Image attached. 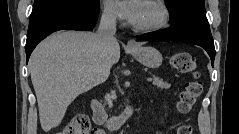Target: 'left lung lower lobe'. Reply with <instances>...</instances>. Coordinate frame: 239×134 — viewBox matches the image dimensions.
Returning a JSON list of instances; mask_svg holds the SVG:
<instances>
[{
  "instance_id": "0a47b994",
  "label": "left lung lower lobe",
  "mask_w": 239,
  "mask_h": 134,
  "mask_svg": "<svg viewBox=\"0 0 239 134\" xmlns=\"http://www.w3.org/2000/svg\"><path fill=\"white\" fill-rule=\"evenodd\" d=\"M141 41H179L204 48L214 64L215 47L208 20L204 13L191 12L165 30L136 36Z\"/></svg>"
}]
</instances>
